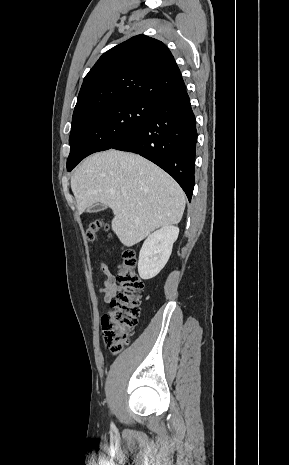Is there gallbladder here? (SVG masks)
I'll return each mask as SVG.
<instances>
[{
  "instance_id": "gallbladder-1",
  "label": "gallbladder",
  "mask_w": 289,
  "mask_h": 465,
  "mask_svg": "<svg viewBox=\"0 0 289 465\" xmlns=\"http://www.w3.org/2000/svg\"><path fill=\"white\" fill-rule=\"evenodd\" d=\"M105 208H106L105 205H103L101 203H95V204L88 207L87 212H89V213L99 212L101 210H104Z\"/></svg>"
}]
</instances>
